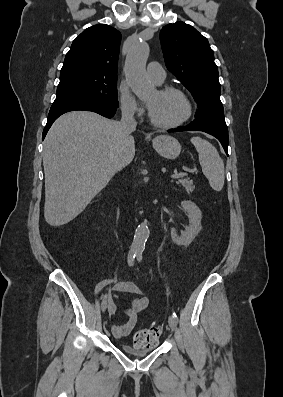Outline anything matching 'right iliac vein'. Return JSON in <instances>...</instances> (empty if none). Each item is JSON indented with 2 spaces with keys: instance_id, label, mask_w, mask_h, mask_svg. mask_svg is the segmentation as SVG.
Here are the masks:
<instances>
[{
  "instance_id": "63e3f726",
  "label": "right iliac vein",
  "mask_w": 283,
  "mask_h": 397,
  "mask_svg": "<svg viewBox=\"0 0 283 397\" xmlns=\"http://www.w3.org/2000/svg\"><path fill=\"white\" fill-rule=\"evenodd\" d=\"M108 299H109V297L106 295L104 298V303H103V305H101L102 312H105V310L107 308Z\"/></svg>"
}]
</instances>
